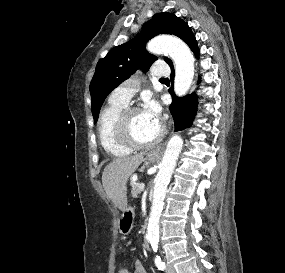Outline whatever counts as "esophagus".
Wrapping results in <instances>:
<instances>
[{
	"label": "esophagus",
	"mask_w": 285,
	"mask_h": 273,
	"mask_svg": "<svg viewBox=\"0 0 285 273\" xmlns=\"http://www.w3.org/2000/svg\"><path fill=\"white\" fill-rule=\"evenodd\" d=\"M160 151V147L159 148H157L154 152H159Z\"/></svg>",
	"instance_id": "esophagus-1"
}]
</instances>
